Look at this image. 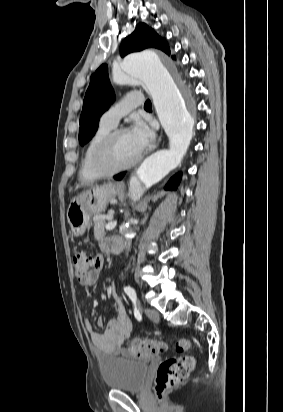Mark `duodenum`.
Masks as SVG:
<instances>
[{
    "label": "duodenum",
    "instance_id": "duodenum-1",
    "mask_svg": "<svg viewBox=\"0 0 283 412\" xmlns=\"http://www.w3.org/2000/svg\"><path fill=\"white\" fill-rule=\"evenodd\" d=\"M121 247H122V241L120 239L116 238L114 240V242L112 243V245H111L110 251L114 254H117L121 250Z\"/></svg>",
    "mask_w": 283,
    "mask_h": 412
}]
</instances>
